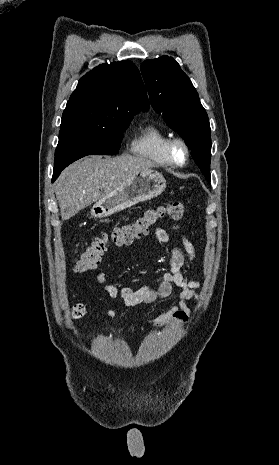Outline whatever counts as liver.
Returning a JSON list of instances; mask_svg holds the SVG:
<instances>
[{"mask_svg":"<svg viewBox=\"0 0 279 465\" xmlns=\"http://www.w3.org/2000/svg\"><path fill=\"white\" fill-rule=\"evenodd\" d=\"M153 166L139 156H89L62 171L55 182V194L62 219H69L80 210L110 194L135 174Z\"/></svg>","mask_w":279,"mask_h":465,"instance_id":"6515ba94","label":"liver"}]
</instances>
